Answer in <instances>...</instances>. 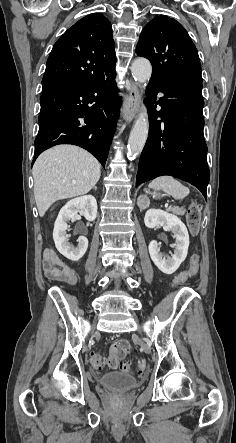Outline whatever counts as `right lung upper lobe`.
<instances>
[{"instance_id":"right-lung-upper-lobe-1","label":"right lung upper lobe","mask_w":236,"mask_h":443,"mask_svg":"<svg viewBox=\"0 0 236 443\" xmlns=\"http://www.w3.org/2000/svg\"><path fill=\"white\" fill-rule=\"evenodd\" d=\"M116 55L110 22L90 14L55 43L46 64L43 86L92 81L115 72Z\"/></svg>"}]
</instances>
